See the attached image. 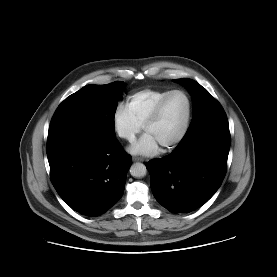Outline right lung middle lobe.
Returning <instances> with one entry per match:
<instances>
[{"label":"right lung middle lobe","mask_w":277,"mask_h":277,"mask_svg":"<svg viewBox=\"0 0 277 277\" xmlns=\"http://www.w3.org/2000/svg\"><path fill=\"white\" fill-rule=\"evenodd\" d=\"M122 86L121 81L107 85H87L67 97L59 105L55 114L87 118L114 134V116Z\"/></svg>","instance_id":"dd1d6c3e"}]
</instances>
